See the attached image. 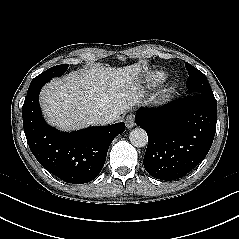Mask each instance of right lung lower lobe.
I'll use <instances>...</instances> for the list:
<instances>
[{
    "mask_svg": "<svg viewBox=\"0 0 239 239\" xmlns=\"http://www.w3.org/2000/svg\"><path fill=\"white\" fill-rule=\"evenodd\" d=\"M46 82L31 83L22 107L23 127L30 150L38 162L61 180L83 184L102 170L113 139L124 132L125 124L89 127L60 132L43 119L38 95Z\"/></svg>",
    "mask_w": 239,
    "mask_h": 239,
    "instance_id": "1",
    "label": "right lung lower lobe"
}]
</instances>
